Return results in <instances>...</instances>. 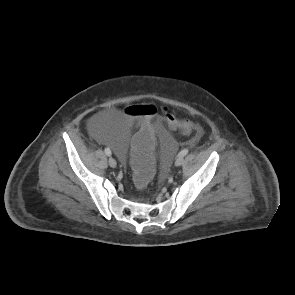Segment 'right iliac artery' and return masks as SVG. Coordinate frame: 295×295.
<instances>
[{
    "label": "right iliac artery",
    "instance_id": "1",
    "mask_svg": "<svg viewBox=\"0 0 295 295\" xmlns=\"http://www.w3.org/2000/svg\"><path fill=\"white\" fill-rule=\"evenodd\" d=\"M105 153L107 156H111V150L109 148H105Z\"/></svg>",
    "mask_w": 295,
    "mask_h": 295
}]
</instances>
